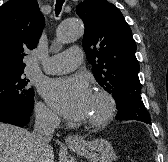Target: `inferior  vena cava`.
Returning <instances> with one entry per match:
<instances>
[{
  "mask_svg": "<svg viewBox=\"0 0 168 162\" xmlns=\"http://www.w3.org/2000/svg\"><path fill=\"white\" fill-rule=\"evenodd\" d=\"M58 116L47 109H37L32 132L34 160L37 155L49 147L55 128L59 125Z\"/></svg>",
  "mask_w": 168,
  "mask_h": 162,
  "instance_id": "inferior-vena-cava-1",
  "label": "inferior vena cava"
}]
</instances>
